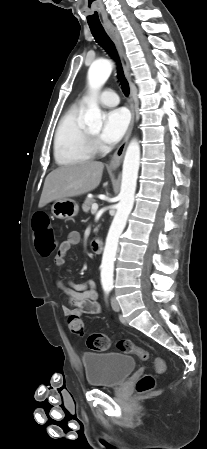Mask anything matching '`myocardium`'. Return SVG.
Wrapping results in <instances>:
<instances>
[{
    "label": "myocardium",
    "instance_id": "myocardium-1",
    "mask_svg": "<svg viewBox=\"0 0 207 449\" xmlns=\"http://www.w3.org/2000/svg\"><path fill=\"white\" fill-rule=\"evenodd\" d=\"M85 137H86V141L88 146L93 150H97L99 147V143H98V139L96 136H93L92 134H90L87 130H85Z\"/></svg>",
    "mask_w": 207,
    "mask_h": 449
}]
</instances>
